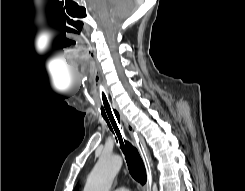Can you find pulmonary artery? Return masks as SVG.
I'll list each match as a JSON object with an SVG mask.
<instances>
[{"label":"pulmonary artery","instance_id":"e3ab8cb5","mask_svg":"<svg viewBox=\"0 0 245 191\" xmlns=\"http://www.w3.org/2000/svg\"><path fill=\"white\" fill-rule=\"evenodd\" d=\"M115 191H130V190L127 189V188H118V189H116Z\"/></svg>","mask_w":245,"mask_h":191}]
</instances>
